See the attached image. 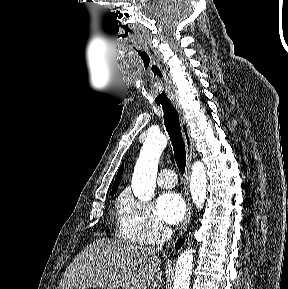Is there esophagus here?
<instances>
[{"label":"esophagus","instance_id":"esophagus-1","mask_svg":"<svg viewBox=\"0 0 288 289\" xmlns=\"http://www.w3.org/2000/svg\"><path fill=\"white\" fill-rule=\"evenodd\" d=\"M173 105L176 108L178 115H179L180 125H181V129L183 133L186 154H187V164H186V172H185V184H186L185 195H186L187 211H186V215L184 217L183 223L178 232V236L180 237L186 232L190 224L191 215H192V206H191L190 197H189L188 183H189L191 162H192V159L194 158V141L191 136L190 127L188 125L186 115L184 113L182 105L178 101H173Z\"/></svg>","mask_w":288,"mask_h":289}]
</instances>
